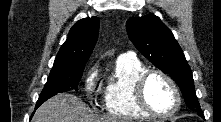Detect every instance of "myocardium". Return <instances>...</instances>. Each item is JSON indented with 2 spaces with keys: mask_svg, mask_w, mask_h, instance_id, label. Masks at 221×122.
<instances>
[{
  "mask_svg": "<svg viewBox=\"0 0 221 122\" xmlns=\"http://www.w3.org/2000/svg\"><path fill=\"white\" fill-rule=\"evenodd\" d=\"M155 75L162 77L166 82H168V84L171 86V88L174 92L175 106L168 113L156 112L155 110H153L151 108V106L147 102L146 94H145L146 85H147L148 80L152 76H155ZM134 97H135L136 103L140 107V109L143 110L145 113H147L149 116H152L155 118L172 117L173 115H175L178 112V110L181 107V103H182L180 90H179L176 82L174 81V79L170 75H168L167 73H165L164 71L159 70V69L146 70L137 77V79L134 82Z\"/></svg>",
  "mask_w": 221,
  "mask_h": 122,
  "instance_id": "1",
  "label": "myocardium"
}]
</instances>
